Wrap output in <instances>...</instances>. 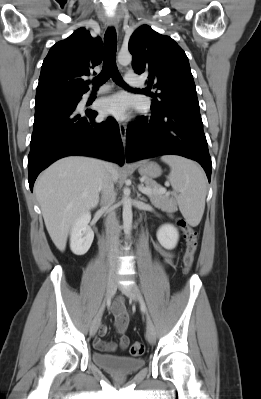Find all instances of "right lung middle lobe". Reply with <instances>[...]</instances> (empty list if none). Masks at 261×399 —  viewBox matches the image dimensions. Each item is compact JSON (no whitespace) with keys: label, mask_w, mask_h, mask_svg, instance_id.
<instances>
[{"label":"right lung middle lobe","mask_w":261,"mask_h":399,"mask_svg":"<svg viewBox=\"0 0 261 399\" xmlns=\"http://www.w3.org/2000/svg\"><path fill=\"white\" fill-rule=\"evenodd\" d=\"M81 97H82V95H74V96H67V97H61V98H55V99L36 102L35 110L50 107V106L57 105V104L75 105L80 101Z\"/></svg>","instance_id":"1"}]
</instances>
